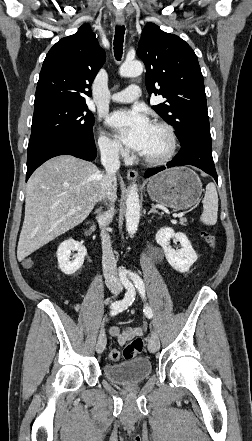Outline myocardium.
<instances>
[{
  "instance_id": "f54148a6",
  "label": "myocardium",
  "mask_w": 252,
  "mask_h": 441,
  "mask_svg": "<svg viewBox=\"0 0 252 441\" xmlns=\"http://www.w3.org/2000/svg\"><path fill=\"white\" fill-rule=\"evenodd\" d=\"M152 125L165 132L169 141V148L167 152L160 157L141 155V158L148 165L159 166L169 162L174 157L177 150V137L173 127L164 121H154Z\"/></svg>"
}]
</instances>
